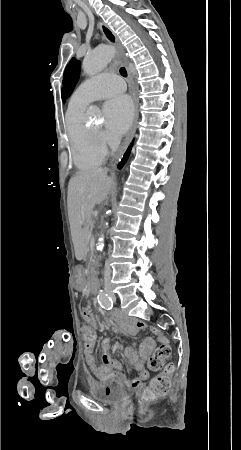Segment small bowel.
I'll return each instance as SVG.
<instances>
[{
	"label": "small bowel",
	"mask_w": 241,
	"mask_h": 450,
	"mask_svg": "<svg viewBox=\"0 0 241 450\" xmlns=\"http://www.w3.org/2000/svg\"><path fill=\"white\" fill-rule=\"evenodd\" d=\"M82 317L86 324H91L93 326V331L91 333H96L97 320L95 316L90 311L83 310ZM143 330H149L158 337L159 341L166 342V339L158 329L149 327L144 321L135 320L132 322H125L121 327V331L129 336H134L139 331ZM82 333H86L84 327ZM156 348L157 342L152 337L144 338L138 351L133 347L124 348L123 354L125 358L138 372L136 377H128L120 371L121 364L109 353L107 341H105L102 346L101 365L97 364L95 356H84V358L90 373L94 377L105 383L111 382L124 385L131 389H136L150 377V373L146 369V366L149 363L150 358L154 355Z\"/></svg>",
	"instance_id": "small-bowel-1"
}]
</instances>
